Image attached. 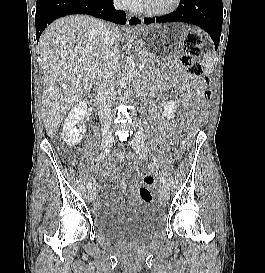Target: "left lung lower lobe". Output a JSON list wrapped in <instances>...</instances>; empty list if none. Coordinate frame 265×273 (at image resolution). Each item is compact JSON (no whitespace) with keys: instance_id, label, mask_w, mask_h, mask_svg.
<instances>
[{"instance_id":"left-lung-lower-lobe-1","label":"left lung lower lobe","mask_w":265,"mask_h":273,"mask_svg":"<svg viewBox=\"0 0 265 273\" xmlns=\"http://www.w3.org/2000/svg\"><path fill=\"white\" fill-rule=\"evenodd\" d=\"M185 22L204 29L218 48L223 22L222 0H180L178 9L172 14L156 19H144L145 24Z\"/></svg>"}]
</instances>
